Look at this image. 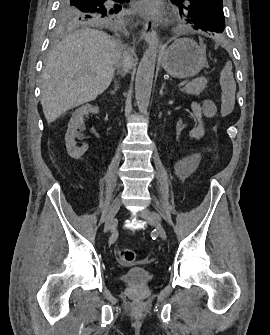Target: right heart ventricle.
<instances>
[{"label":"right heart ventricle","mask_w":270,"mask_h":335,"mask_svg":"<svg viewBox=\"0 0 270 335\" xmlns=\"http://www.w3.org/2000/svg\"><path fill=\"white\" fill-rule=\"evenodd\" d=\"M136 78H144V77H136V74H135V77H134L135 82H136Z\"/></svg>","instance_id":"obj_1"}]
</instances>
